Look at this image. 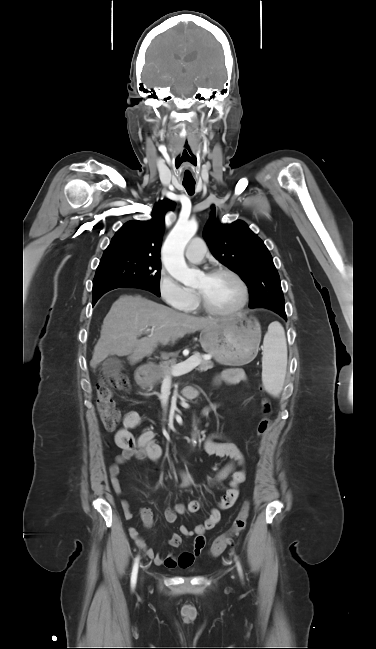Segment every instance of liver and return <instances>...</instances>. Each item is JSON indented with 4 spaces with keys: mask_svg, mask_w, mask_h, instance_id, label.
<instances>
[{
    "mask_svg": "<svg viewBox=\"0 0 376 649\" xmlns=\"http://www.w3.org/2000/svg\"><path fill=\"white\" fill-rule=\"evenodd\" d=\"M220 320L189 316L140 295L121 296L103 321L90 366L96 368L109 355H128L130 363L135 364L151 355L158 344L167 345ZM150 328L153 330L147 337L138 339Z\"/></svg>",
    "mask_w": 376,
    "mask_h": 649,
    "instance_id": "obj_1",
    "label": "liver"
}]
</instances>
